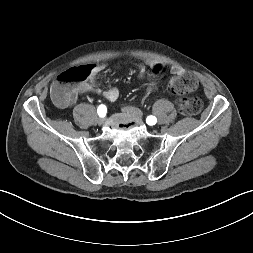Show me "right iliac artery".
Returning a JSON list of instances; mask_svg holds the SVG:
<instances>
[{"mask_svg": "<svg viewBox=\"0 0 253 253\" xmlns=\"http://www.w3.org/2000/svg\"><path fill=\"white\" fill-rule=\"evenodd\" d=\"M97 113L100 117H104L107 113L106 106L104 104H101L97 109Z\"/></svg>", "mask_w": 253, "mask_h": 253, "instance_id": "obj_1", "label": "right iliac artery"}]
</instances>
